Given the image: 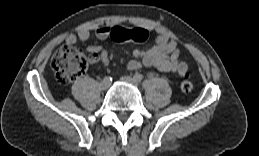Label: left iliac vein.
I'll list each match as a JSON object with an SVG mask.
<instances>
[{
    "label": "left iliac vein",
    "mask_w": 259,
    "mask_h": 156,
    "mask_svg": "<svg viewBox=\"0 0 259 156\" xmlns=\"http://www.w3.org/2000/svg\"><path fill=\"white\" fill-rule=\"evenodd\" d=\"M121 80L124 81V82H126V83H130V84H132V85H134V86H137V85H138V82H137L134 78L129 77V76H123V77L121 78Z\"/></svg>",
    "instance_id": "obj_1"
}]
</instances>
